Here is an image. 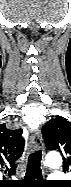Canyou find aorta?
<instances>
[{"mask_svg": "<svg viewBox=\"0 0 71 187\" xmlns=\"http://www.w3.org/2000/svg\"><path fill=\"white\" fill-rule=\"evenodd\" d=\"M46 164L49 167L57 168L62 164V157L58 152L48 153L46 156Z\"/></svg>", "mask_w": 71, "mask_h": 187, "instance_id": "obj_1", "label": "aorta"}]
</instances>
